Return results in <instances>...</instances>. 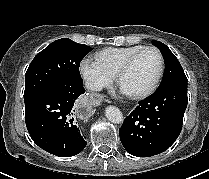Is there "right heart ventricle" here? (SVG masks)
Returning a JSON list of instances; mask_svg holds the SVG:
<instances>
[{"label": "right heart ventricle", "mask_w": 209, "mask_h": 179, "mask_svg": "<svg viewBox=\"0 0 209 179\" xmlns=\"http://www.w3.org/2000/svg\"><path fill=\"white\" fill-rule=\"evenodd\" d=\"M144 45H130L123 47H107L94 55L96 64L109 77L114 78L122 64Z\"/></svg>", "instance_id": "e07e8e85"}]
</instances>
